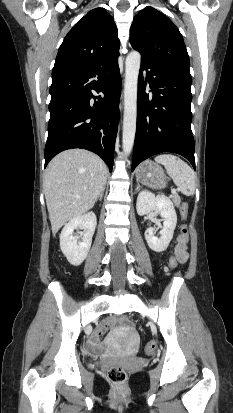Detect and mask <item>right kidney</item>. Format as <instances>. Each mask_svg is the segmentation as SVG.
Wrapping results in <instances>:
<instances>
[{
	"mask_svg": "<svg viewBox=\"0 0 233 413\" xmlns=\"http://www.w3.org/2000/svg\"><path fill=\"white\" fill-rule=\"evenodd\" d=\"M96 225V215L93 212H88L71 219L62 229L60 248L72 265L78 266L86 259L92 244ZM78 227H82L84 230L82 242L78 241L79 236H73L74 230Z\"/></svg>",
	"mask_w": 233,
	"mask_h": 413,
	"instance_id": "ca27d5eb",
	"label": "right kidney"
}]
</instances>
